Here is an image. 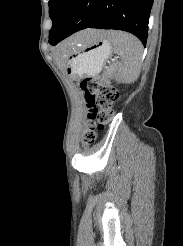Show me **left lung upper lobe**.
<instances>
[{
	"instance_id": "obj_1",
	"label": "left lung upper lobe",
	"mask_w": 183,
	"mask_h": 246,
	"mask_svg": "<svg viewBox=\"0 0 183 246\" xmlns=\"http://www.w3.org/2000/svg\"><path fill=\"white\" fill-rule=\"evenodd\" d=\"M79 0H49V16L52 19V28L49 39L54 38L65 25Z\"/></svg>"
}]
</instances>
